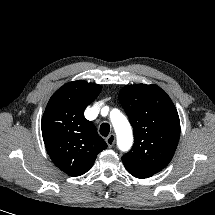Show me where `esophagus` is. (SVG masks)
<instances>
[{"label": "esophagus", "mask_w": 215, "mask_h": 215, "mask_svg": "<svg viewBox=\"0 0 215 215\" xmlns=\"http://www.w3.org/2000/svg\"><path fill=\"white\" fill-rule=\"evenodd\" d=\"M106 143L108 145V147H112L115 143V135L114 134H110L107 138H106Z\"/></svg>", "instance_id": "1"}]
</instances>
